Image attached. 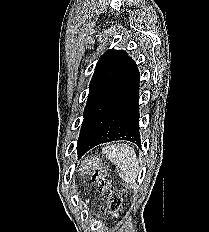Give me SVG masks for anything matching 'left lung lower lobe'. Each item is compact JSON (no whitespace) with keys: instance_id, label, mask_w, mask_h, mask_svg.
I'll return each instance as SVG.
<instances>
[{"instance_id":"obj_1","label":"left lung lower lobe","mask_w":209,"mask_h":232,"mask_svg":"<svg viewBox=\"0 0 209 232\" xmlns=\"http://www.w3.org/2000/svg\"><path fill=\"white\" fill-rule=\"evenodd\" d=\"M139 70L136 63L123 83L85 116L78 139V157L101 143L128 140L140 146Z\"/></svg>"}]
</instances>
